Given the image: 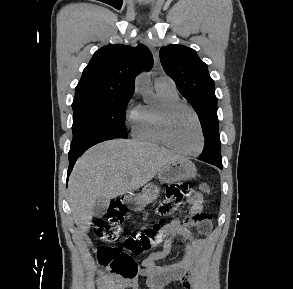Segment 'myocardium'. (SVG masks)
Returning <instances> with one entry per match:
<instances>
[{
    "instance_id": "myocardium-1",
    "label": "myocardium",
    "mask_w": 293,
    "mask_h": 289,
    "mask_svg": "<svg viewBox=\"0 0 293 289\" xmlns=\"http://www.w3.org/2000/svg\"><path fill=\"white\" fill-rule=\"evenodd\" d=\"M181 109H186L188 110L192 116L194 117L198 130H199V135H200V143L199 147L197 148L196 151L194 152H186L183 151L179 148H177L174 143L172 142L170 138V133H169V125H170V120L172 116ZM159 126H160V134L163 139L164 144L170 148L172 151L176 152L179 155L185 156V157H196L200 155L203 152L204 146H205V135H204V130L202 123L200 121V118L196 111L189 106L186 103H183L181 101L165 104L160 108V115H159Z\"/></svg>"
}]
</instances>
